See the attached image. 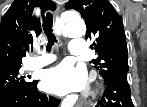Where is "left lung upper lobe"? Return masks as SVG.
Masks as SVG:
<instances>
[{
    "label": "left lung upper lobe",
    "mask_w": 147,
    "mask_h": 107,
    "mask_svg": "<svg viewBox=\"0 0 147 107\" xmlns=\"http://www.w3.org/2000/svg\"><path fill=\"white\" fill-rule=\"evenodd\" d=\"M66 9H74L85 19L86 39L98 57L91 63L107 79L128 72V51L122 18L108 0H69Z\"/></svg>",
    "instance_id": "1"
}]
</instances>
